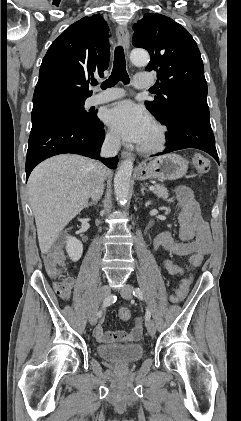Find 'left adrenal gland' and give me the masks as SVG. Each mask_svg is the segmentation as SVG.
<instances>
[{"instance_id": "obj_1", "label": "left adrenal gland", "mask_w": 241, "mask_h": 421, "mask_svg": "<svg viewBox=\"0 0 241 421\" xmlns=\"http://www.w3.org/2000/svg\"><path fill=\"white\" fill-rule=\"evenodd\" d=\"M141 186V194L144 195V191L148 192V189L143 184H141Z\"/></svg>"}]
</instances>
